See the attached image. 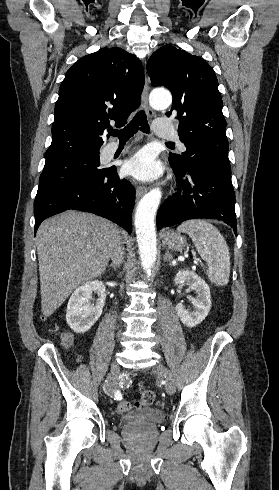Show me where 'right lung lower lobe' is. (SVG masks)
<instances>
[{
	"mask_svg": "<svg viewBox=\"0 0 279 490\" xmlns=\"http://www.w3.org/2000/svg\"><path fill=\"white\" fill-rule=\"evenodd\" d=\"M134 202V187L129 181L119 179L115 167L91 178L42 185L34 202V229L36 232L41 222L50 216L75 209L105 217L131 233Z\"/></svg>",
	"mask_w": 279,
	"mask_h": 490,
	"instance_id": "right-lung-lower-lobe-1",
	"label": "right lung lower lobe"
}]
</instances>
